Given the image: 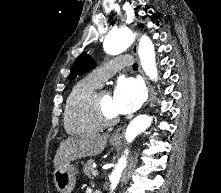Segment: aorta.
Instances as JSON below:
<instances>
[{
  "instance_id": "762f6f07",
  "label": "aorta",
  "mask_w": 221,
  "mask_h": 193,
  "mask_svg": "<svg viewBox=\"0 0 221 193\" xmlns=\"http://www.w3.org/2000/svg\"><path fill=\"white\" fill-rule=\"evenodd\" d=\"M134 40V34L127 28H119L108 33L104 41V50L111 55L119 54L125 51ZM138 55L144 72L152 80L157 79V67L155 60V51L152 41L147 36H142L139 42ZM152 123V118L148 115H139L135 117L128 125L125 138L131 143L137 135L145 131ZM127 154V151H126ZM126 157L123 156L117 163L115 169L109 176L110 192H114L123 169L126 167Z\"/></svg>"
}]
</instances>
